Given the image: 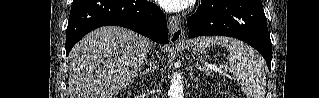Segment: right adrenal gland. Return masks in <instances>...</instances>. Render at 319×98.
Segmentation results:
<instances>
[{
	"label": "right adrenal gland",
	"mask_w": 319,
	"mask_h": 98,
	"mask_svg": "<svg viewBox=\"0 0 319 98\" xmlns=\"http://www.w3.org/2000/svg\"><path fill=\"white\" fill-rule=\"evenodd\" d=\"M152 68H153V65H152V62L150 61L149 64H148V68H146L145 71H143L141 74H150L152 72Z\"/></svg>",
	"instance_id": "1"
}]
</instances>
